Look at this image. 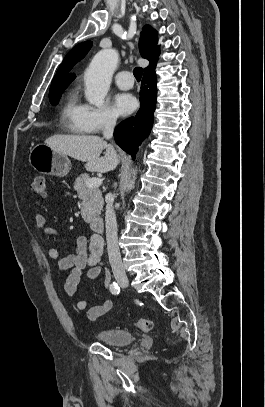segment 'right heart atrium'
<instances>
[{"label": "right heart atrium", "instance_id": "obj_1", "mask_svg": "<svg viewBox=\"0 0 265 407\" xmlns=\"http://www.w3.org/2000/svg\"><path fill=\"white\" fill-rule=\"evenodd\" d=\"M83 108L84 122L90 132L99 133L114 127L117 123V115L108 106L83 105Z\"/></svg>", "mask_w": 265, "mask_h": 407}]
</instances>
